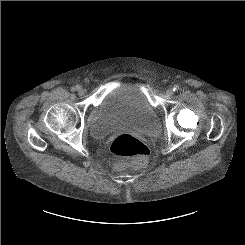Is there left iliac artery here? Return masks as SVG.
I'll use <instances>...</instances> for the list:
<instances>
[{
  "mask_svg": "<svg viewBox=\"0 0 245 245\" xmlns=\"http://www.w3.org/2000/svg\"><path fill=\"white\" fill-rule=\"evenodd\" d=\"M179 90V86H177V85H175L174 87H173V91H178Z\"/></svg>",
  "mask_w": 245,
  "mask_h": 245,
  "instance_id": "left-iliac-artery-1",
  "label": "left iliac artery"
}]
</instances>
